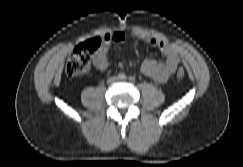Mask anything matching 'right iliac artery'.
Listing matches in <instances>:
<instances>
[{"instance_id": "right-iliac-artery-1", "label": "right iliac artery", "mask_w": 243, "mask_h": 167, "mask_svg": "<svg viewBox=\"0 0 243 167\" xmlns=\"http://www.w3.org/2000/svg\"><path fill=\"white\" fill-rule=\"evenodd\" d=\"M118 78L121 79V80H124L126 78V76H125L124 73H119Z\"/></svg>"}]
</instances>
